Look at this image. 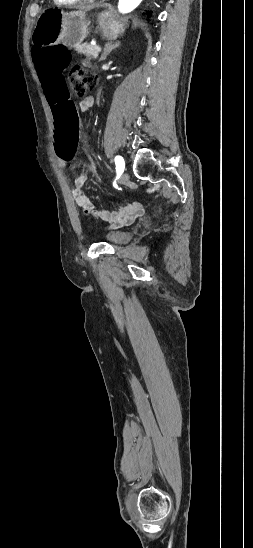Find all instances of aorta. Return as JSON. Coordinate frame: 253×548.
<instances>
[{
  "instance_id": "aorta-1",
  "label": "aorta",
  "mask_w": 253,
  "mask_h": 548,
  "mask_svg": "<svg viewBox=\"0 0 253 548\" xmlns=\"http://www.w3.org/2000/svg\"><path fill=\"white\" fill-rule=\"evenodd\" d=\"M141 2L142 0H119L118 10L123 14L129 13L139 6Z\"/></svg>"
}]
</instances>
